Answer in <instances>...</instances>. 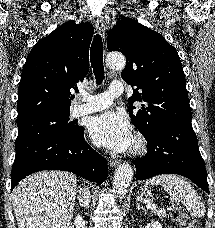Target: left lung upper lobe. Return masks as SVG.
<instances>
[{"label":"left lung upper lobe","instance_id":"5c2ea615","mask_svg":"<svg viewBox=\"0 0 215 228\" xmlns=\"http://www.w3.org/2000/svg\"><path fill=\"white\" fill-rule=\"evenodd\" d=\"M107 48L127 59L121 77L137 86L129 98V115L146 139L162 123L191 119L179 55L161 34L123 18L109 31ZM134 102H142L141 107H134Z\"/></svg>","mask_w":215,"mask_h":228}]
</instances>
